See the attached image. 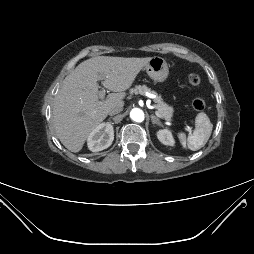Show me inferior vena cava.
<instances>
[{"label":"inferior vena cava","instance_id":"inferior-vena-cava-1","mask_svg":"<svg viewBox=\"0 0 254 254\" xmlns=\"http://www.w3.org/2000/svg\"><path fill=\"white\" fill-rule=\"evenodd\" d=\"M123 110V106L115 105L109 108L108 114L113 116L120 113Z\"/></svg>","mask_w":254,"mask_h":254}]
</instances>
